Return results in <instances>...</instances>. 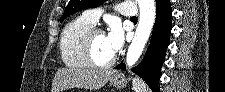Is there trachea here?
<instances>
[{
  "mask_svg": "<svg viewBox=\"0 0 225 92\" xmlns=\"http://www.w3.org/2000/svg\"><path fill=\"white\" fill-rule=\"evenodd\" d=\"M132 19H137V17H136V16H134Z\"/></svg>",
  "mask_w": 225,
  "mask_h": 92,
  "instance_id": "1",
  "label": "trachea"
}]
</instances>
